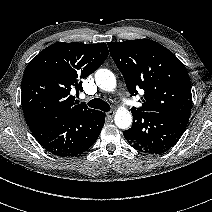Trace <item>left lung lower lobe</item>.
Returning <instances> with one entry per match:
<instances>
[{
	"instance_id": "obj_1",
	"label": "left lung lower lobe",
	"mask_w": 212,
	"mask_h": 212,
	"mask_svg": "<svg viewBox=\"0 0 212 212\" xmlns=\"http://www.w3.org/2000/svg\"><path fill=\"white\" fill-rule=\"evenodd\" d=\"M133 115V125L123 132L135 149L161 154L172 148L183 134L189 117L171 113L141 112Z\"/></svg>"
}]
</instances>
